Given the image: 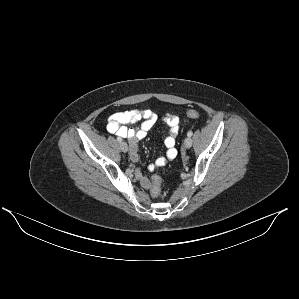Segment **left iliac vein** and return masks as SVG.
<instances>
[{"label":"left iliac vein","mask_w":299,"mask_h":299,"mask_svg":"<svg viewBox=\"0 0 299 299\" xmlns=\"http://www.w3.org/2000/svg\"><path fill=\"white\" fill-rule=\"evenodd\" d=\"M191 146H192V139L190 137L185 138V140H184V147L188 149Z\"/></svg>","instance_id":"obj_1"}]
</instances>
